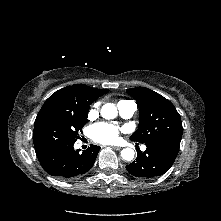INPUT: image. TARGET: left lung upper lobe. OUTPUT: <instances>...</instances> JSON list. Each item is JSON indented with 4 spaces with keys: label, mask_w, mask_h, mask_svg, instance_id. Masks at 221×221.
Returning <instances> with one entry per match:
<instances>
[{
    "label": "left lung upper lobe",
    "mask_w": 221,
    "mask_h": 221,
    "mask_svg": "<svg viewBox=\"0 0 221 221\" xmlns=\"http://www.w3.org/2000/svg\"><path fill=\"white\" fill-rule=\"evenodd\" d=\"M139 106V128L130 137L132 141L147 143L158 139L180 142L183 128L174 105L162 95L144 87L126 90Z\"/></svg>",
    "instance_id": "obj_1"
}]
</instances>
